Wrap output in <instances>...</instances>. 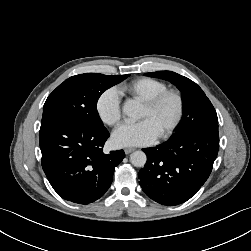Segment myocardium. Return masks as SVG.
Returning <instances> with one entry per match:
<instances>
[{
	"label": "myocardium",
	"mask_w": 251,
	"mask_h": 251,
	"mask_svg": "<svg viewBox=\"0 0 251 251\" xmlns=\"http://www.w3.org/2000/svg\"><path fill=\"white\" fill-rule=\"evenodd\" d=\"M167 98L174 99L176 103V112L173 119L168 124V126L159 134L158 137L160 139H166L170 137L179 126L184 115V109H185L184 98L182 94L176 89H165L162 92L153 96L152 98L144 101V106H146L150 110H155Z\"/></svg>",
	"instance_id": "myocardium-1"
}]
</instances>
